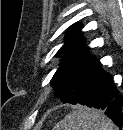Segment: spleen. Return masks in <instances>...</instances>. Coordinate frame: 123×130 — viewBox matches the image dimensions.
Instances as JSON below:
<instances>
[{
	"label": "spleen",
	"mask_w": 123,
	"mask_h": 130,
	"mask_svg": "<svg viewBox=\"0 0 123 130\" xmlns=\"http://www.w3.org/2000/svg\"><path fill=\"white\" fill-rule=\"evenodd\" d=\"M54 130H114V124L101 111L78 106Z\"/></svg>",
	"instance_id": "obj_1"
}]
</instances>
